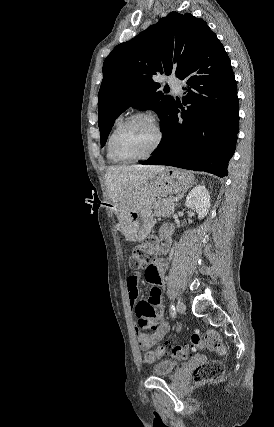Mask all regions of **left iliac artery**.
Returning a JSON list of instances; mask_svg holds the SVG:
<instances>
[{
	"instance_id": "left-iliac-artery-1",
	"label": "left iliac artery",
	"mask_w": 274,
	"mask_h": 427,
	"mask_svg": "<svg viewBox=\"0 0 274 427\" xmlns=\"http://www.w3.org/2000/svg\"><path fill=\"white\" fill-rule=\"evenodd\" d=\"M170 315H171L173 318H175V316H176V310H175V306H174V305H171V306H170Z\"/></svg>"
}]
</instances>
